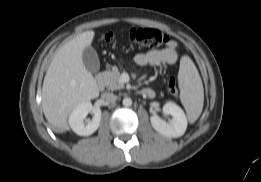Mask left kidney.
<instances>
[{
    "mask_svg": "<svg viewBox=\"0 0 261 182\" xmlns=\"http://www.w3.org/2000/svg\"><path fill=\"white\" fill-rule=\"evenodd\" d=\"M163 113L165 115H171L172 119L166 122L158 115H152L150 117L152 127L166 137L177 138L182 136L188 124L184 111L177 104L167 102L163 106Z\"/></svg>",
    "mask_w": 261,
    "mask_h": 182,
    "instance_id": "obj_1",
    "label": "left kidney"
}]
</instances>
